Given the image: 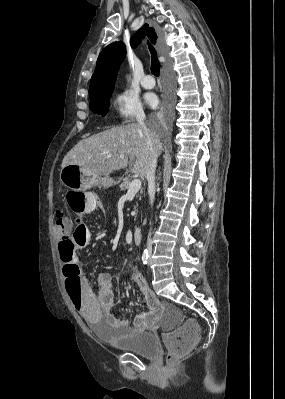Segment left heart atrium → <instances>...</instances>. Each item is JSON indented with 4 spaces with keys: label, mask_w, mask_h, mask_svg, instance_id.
<instances>
[{
    "label": "left heart atrium",
    "mask_w": 285,
    "mask_h": 399,
    "mask_svg": "<svg viewBox=\"0 0 285 399\" xmlns=\"http://www.w3.org/2000/svg\"><path fill=\"white\" fill-rule=\"evenodd\" d=\"M147 102L152 108H155L158 104V100L154 95H149L147 98Z\"/></svg>",
    "instance_id": "39dd6f15"
}]
</instances>
